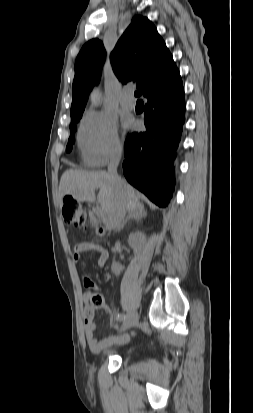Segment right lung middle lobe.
Segmentation results:
<instances>
[{
	"label": "right lung middle lobe",
	"mask_w": 253,
	"mask_h": 413,
	"mask_svg": "<svg viewBox=\"0 0 253 413\" xmlns=\"http://www.w3.org/2000/svg\"><path fill=\"white\" fill-rule=\"evenodd\" d=\"M81 117H82V116L77 117V118H75L74 120H71L70 132H71L72 135L69 137V140H68V145H67V148H66V151H67V152H70V151H71V149H72V144L75 142L74 133H75V131H76V126H75L74 124L77 123V122H79V120H80Z\"/></svg>",
	"instance_id": "dd1d6c3e"
}]
</instances>
